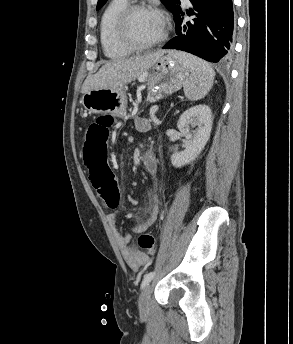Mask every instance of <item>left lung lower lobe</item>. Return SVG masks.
Segmentation results:
<instances>
[{"label":"left lung lower lobe","instance_id":"obj_1","mask_svg":"<svg viewBox=\"0 0 293 344\" xmlns=\"http://www.w3.org/2000/svg\"><path fill=\"white\" fill-rule=\"evenodd\" d=\"M186 21L180 3L173 12L177 36L163 49L189 52L213 63H227L233 55L234 14L232 0H190Z\"/></svg>","mask_w":293,"mask_h":344}]
</instances>
